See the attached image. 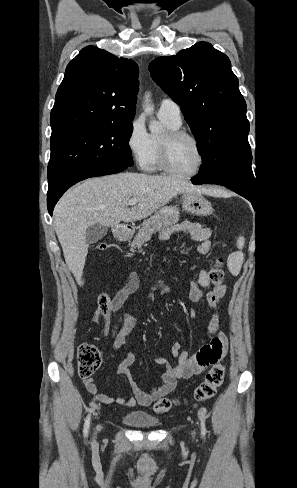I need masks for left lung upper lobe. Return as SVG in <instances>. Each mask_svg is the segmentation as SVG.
<instances>
[{
  "instance_id": "obj_1",
  "label": "left lung upper lobe",
  "mask_w": 297,
  "mask_h": 488,
  "mask_svg": "<svg viewBox=\"0 0 297 488\" xmlns=\"http://www.w3.org/2000/svg\"><path fill=\"white\" fill-rule=\"evenodd\" d=\"M153 80L178 104L199 143L201 181L230 179L255 189L246 102L229 58L208 42L149 65Z\"/></svg>"
}]
</instances>
